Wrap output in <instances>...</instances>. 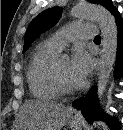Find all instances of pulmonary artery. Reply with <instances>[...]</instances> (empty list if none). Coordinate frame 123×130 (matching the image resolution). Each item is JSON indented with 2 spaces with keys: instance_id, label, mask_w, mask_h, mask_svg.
Returning <instances> with one entry per match:
<instances>
[{
  "instance_id": "pulmonary-artery-1",
  "label": "pulmonary artery",
  "mask_w": 123,
  "mask_h": 130,
  "mask_svg": "<svg viewBox=\"0 0 123 130\" xmlns=\"http://www.w3.org/2000/svg\"><path fill=\"white\" fill-rule=\"evenodd\" d=\"M96 35V27L93 24H71L49 37L46 43L59 52L75 39H92Z\"/></svg>"
}]
</instances>
